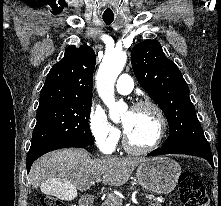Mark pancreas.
Masks as SVG:
<instances>
[{"label":"pancreas","instance_id":"obj_1","mask_svg":"<svg viewBox=\"0 0 221 206\" xmlns=\"http://www.w3.org/2000/svg\"><path fill=\"white\" fill-rule=\"evenodd\" d=\"M113 198L108 197L101 206H122V200L116 196L112 195ZM148 206H162V204L156 199L153 198L150 200Z\"/></svg>","mask_w":221,"mask_h":206}]
</instances>
